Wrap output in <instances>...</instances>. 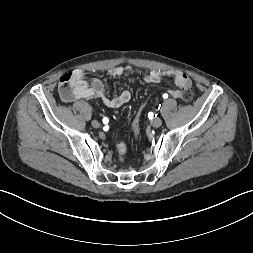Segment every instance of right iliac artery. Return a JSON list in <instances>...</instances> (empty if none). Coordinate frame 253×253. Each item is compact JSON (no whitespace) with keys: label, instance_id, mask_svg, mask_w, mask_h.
<instances>
[{"label":"right iliac artery","instance_id":"82829eb1","mask_svg":"<svg viewBox=\"0 0 253 253\" xmlns=\"http://www.w3.org/2000/svg\"><path fill=\"white\" fill-rule=\"evenodd\" d=\"M106 121H107V118H104V119H103V122L106 123Z\"/></svg>","mask_w":253,"mask_h":253}]
</instances>
